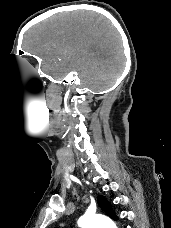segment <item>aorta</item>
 <instances>
[{"label": "aorta", "mask_w": 171, "mask_h": 228, "mask_svg": "<svg viewBox=\"0 0 171 228\" xmlns=\"http://www.w3.org/2000/svg\"><path fill=\"white\" fill-rule=\"evenodd\" d=\"M80 228H117L116 224L106 216L85 214L78 220Z\"/></svg>", "instance_id": "obj_1"}]
</instances>
